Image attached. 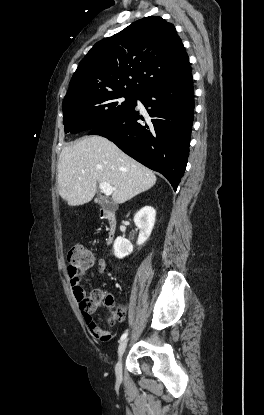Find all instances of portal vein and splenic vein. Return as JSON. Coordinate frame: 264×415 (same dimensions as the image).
Here are the masks:
<instances>
[{"mask_svg":"<svg viewBox=\"0 0 264 415\" xmlns=\"http://www.w3.org/2000/svg\"><path fill=\"white\" fill-rule=\"evenodd\" d=\"M99 188L101 189V191L106 195V196H110L113 191L115 190L114 187H112L109 183L107 182H102L99 183Z\"/></svg>","mask_w":264,"mask_h":415,"instance_id":"obj_1","label":"portal vein and splenic vein"}]
</instances>
